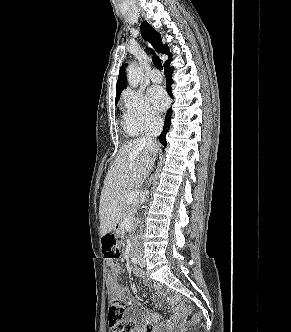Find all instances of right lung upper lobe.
I'll list each match as a JSON object with an SVG mask.
<instances>
[{"label":"right lung upper lobe","instance_id":"cb5924a9","mask_svg":"<svg viewBox=\"0 0 291 332\" xmlns=\"http://www.w3.org/2000/svg\"><path fill=\"white\" fill-rule=\"evenodd\" d=\"M141 33L144 38L149 40L155 50L159 53L167 54L169 59L165 62L171 61V53H169V48L165 44L163 45L161 40V35L146 21H144L141 25ZM164 63V64H165ZM127 86V80L125 75V67L122 66L119 71L118 81L116 84V101H118L119 96L122 90Z\"/></svg>","mask_w":291,"mask_h":332}]
</instances>
